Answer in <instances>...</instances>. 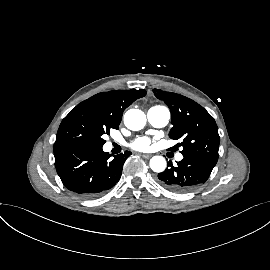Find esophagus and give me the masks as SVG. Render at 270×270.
Instances as JSON below:
<instances>
[{
	"label": "esophagus",
	"instance_id": "obj_1",
	"mask_svg": "<svg viewBox=\"0 0 270 270\" xmlns=\"http://www.w3.org/2000/svg\"><path fill=\"white\" fill-rule=\"evenodd\" d=\"M141 156H142L143 158H145V159H148V158H150L152 155H150V154H141Z\"/></svg>",
	"mask_w": 270,
	"mask_h": 270
}]
</instances>
